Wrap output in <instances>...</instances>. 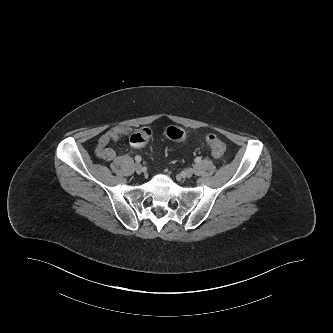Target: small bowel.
I'll return each instance as SVG.
<instances>
[{"instance_id": "small-bowel-1", "label": "small bowel", "mask_w": 333, "mask_h": 333, "mask_svg": "<svg viewBox=\"0 0 333 333\" xmlns=\"http://www.w3.org/2000/svg\"><path fill=\"white\" fill-rule=\"evenodd\" d=\"M132 129L126 126H116L108 130L106 133L100 136L95 149L96 155L105 160L112 161L116 157L115 151L108 147L109 143L112 141H117L122 138L131 137Z\"/></svg>"}]
</instances>
